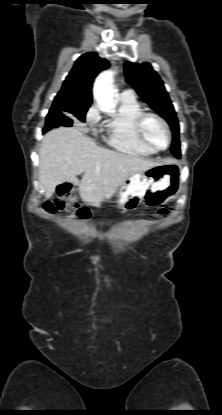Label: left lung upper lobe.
I'll use <instances>...</instances> for the list:
<instances>
[{
    "label": "left lung upper lobe",
    "mask_w": 222,
    "mask_h": 415,
    "mask_svg": "<svg viewBox=\"0 0 222 415\" xmlns=\"http://www.w3.org/2000/svg\"><path fill=\"white\" fill-rule=\"evenodd\" d=\"M125 76L138 95L169 123L173 132L171 151L180 157L179 123L174 107L159 75L149 63L126 62Z\"/></svg>",
    "instance_id": "obj_1"
}]
</instances>
